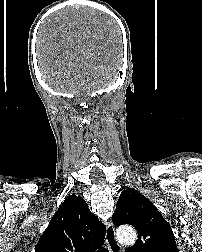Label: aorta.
<instances>
[{
	"instance_id": "obj_1",
	"label": "aorta",
	"mask_w": 202,
	"mask_h": 252,
	"mask_svg": "<svg viewBox=\"0 0 202 252\" xmlns=\"http://www.w3.org/2000/svg\"><path fill=\"white\" fill-rule=\"evenodd\" d=\"M117 238L121 243L133 244L137 239V234L132 227L119 228Z\"/></svg>"
}]
</instances>
